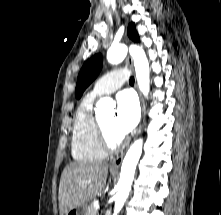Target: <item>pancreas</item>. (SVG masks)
Returning a JSON list of instances; mask_svg holds the SVG:
<instances>
[{"mask_svg": "<svg viewBox=\"0 0 221 215\" xmlns=\"http://www.w3.org/2000/svg\"><path fill=\"white\" fill-rule=\"evenodd\" d=\"M86 215H97V209L95 208L94 204H91L86 209Z\"/></svg>", "mask_w": 221, "mask_h": 215, "instance_id": "1", "label": "pancreas"}]
</instances>
